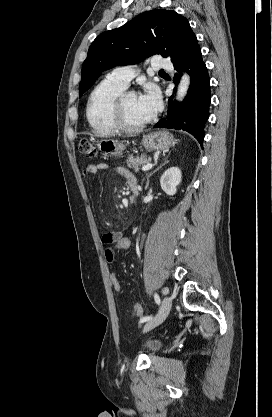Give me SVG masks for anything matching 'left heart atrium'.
<instances>
[{"instance_id": "left-heart-atrium-1", "label": "left heart atrium", "mask_w": 272, "mask_h": 417, "mask_svg": "<svg viewBox=\"0 0 272 417\" xmlns=\"http://www.w3.org/2000/svg\"><path fill=\"white\" fill-rule=\"evenodd\" d=\"M140 107L151 118L161 108V95L158 88L154 85H148L142 95L138 97Z\"/></svg>"}]
</instances>
